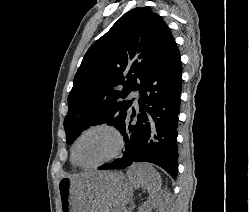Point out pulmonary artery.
<instances>
[{"label":"pulmonary artery","mask_w":249,"mask_h":212,"mask_svg":"<svg viewBox=\"0 0 249 212\" xmlns=\"http://www.w3.org/2000/svg\"><path fill=\"white\" fill-rule=\"evenodd\" d=\"M129 98L133 99V105L134 107H138V102L141 98L140 93L138 90H134L129 94Z\"/></svg>","instance_id":"1"}]
</instances>
